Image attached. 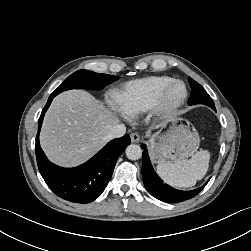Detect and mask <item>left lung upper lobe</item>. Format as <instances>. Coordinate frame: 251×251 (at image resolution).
Listing matches in <instances>:
<instances>
[{
  "label": "left lung upper lobe",
  "instance_id": "5c2ea615",
  "mask_svg": "<svg viewBox=\"0 0 251 251\" xmlns=\"http://www.w3.org/2000/svg\"><path fill=\"white\" fill-rule=\"evenodd\" d=\"M188 79L191 86V96L189 98L188 104H204L211 107L212 109L215 108L212 98L205 91V89L192 78L189 77Z\"/></svg>",
  "mask_w": 251,
  "mask_h": 251
}]
</instances>
